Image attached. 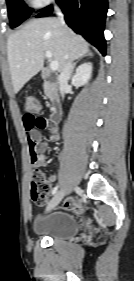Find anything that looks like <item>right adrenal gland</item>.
<instances>
[{"mask_svg":"<svg viewBox=\"0 0 134 281\" xmlns=\"http://www.w3.org/2000/svg\"><path fill=\"white\" fill-rule=\"evenodd\" d=\"M85 56L92 57V53H91V52H88ZM77 63H78V61H76V62L74 63L73 68H72V72L74 71V69H75Z\"/></svg>","mask_w":134,"mask_h":281,"instance_id":"obj_1","label":"right adrenal gland"}]
</instances>
